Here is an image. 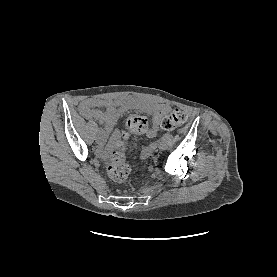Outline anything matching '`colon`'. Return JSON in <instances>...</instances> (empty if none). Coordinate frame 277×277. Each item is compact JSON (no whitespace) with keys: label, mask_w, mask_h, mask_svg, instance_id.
Masks as SVG:
<instances>
[{"label":"colon","mask_w":277,"mask_h":277,"mask_svg":"<svg viewBox=\"0 0 277 277\" xmlns=\"http://www.w3.org/2000/svg\"><path fill=\"white\" fill-rule=\"evenodd\" d=\"M186 121V115L180 109H174L170 114L161 120V127L165 130H172L182 126ZM150 130V123L147 117L142 115H129L122 122L123 135L132 133H147ZM115 149L110 156L108 173L110 178L118 184H127L132 171L127 162V146L120 139L114 141Z\"/></svg>","instance_id":"colon-1"}]
</instances>
